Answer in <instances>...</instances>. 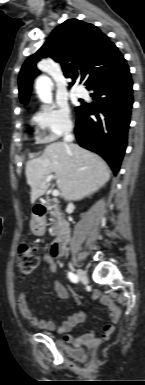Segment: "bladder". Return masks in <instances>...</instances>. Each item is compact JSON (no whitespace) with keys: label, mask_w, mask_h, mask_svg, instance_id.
<instances>
[{"label":"bladder","mask_w":145,"mask_h":385,"mask_svg":"<svg viewBox=\"0 0 145 385\" xmlns=\"http://www.w3.org/2000/svg\"><path fill=\"white\" fill-rule=\"evenodd\" d=\"M75 353L76 354H84V351L83 350H76Z\"/></svg>","instance_id":"obj_1"}]
</instances>
